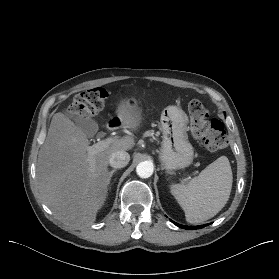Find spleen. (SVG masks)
<instances>
[{
    "instance_id": "spleen-1",
    "label": "spleen",
    "mask_w": 279,
    "mask_h": 279,
    "mask_svg": "<svg viewBox=\"0 0 279 279\" xmlns=\"http://www.w3.org/2000/svg\"><path fill=\"white\" fill-rule=\"evenodd\" d=\"M233 175L230 162L221 156L188 184H174L171 193L185 212L186 221L202 223L214 217L229 200Z\"/></svg>"
}]
</instances>
